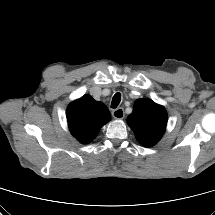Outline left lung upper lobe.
<instances>
[{
    "mask_svg": "<svg viewBox=\"0 0 215 215\" xmlns=\"http://www.w3.org/2000/svg\"><path fill=\"white\" fill-rule=\"evenodd\" d=\"M127 123L136 139L145 147L154 146L163 136L167 124V112L150 99H138Z\"/></svg>",
    "mask_w": 215,
    "mask_h": 215,
    "instance_id": "obj_1",
    "label": "left lung upper lobe"
}]
</instances>
